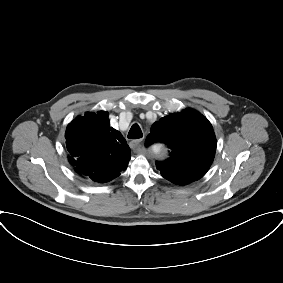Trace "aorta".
<instances>
[{"label": "aorta", "instance_id": "1", "mask_svg": "<svg viewBox=\"0 0 283 283\" xmlns=\"http://www.w3.org/2000/svg\"><path fill=\"white\" fill-rule=\"evenodd\" d=\"M154 152L159 154L161 152V148L160 147H154Z\"/></svg>", "mask_w": 283, "mask_h": 283}]
</instances>
